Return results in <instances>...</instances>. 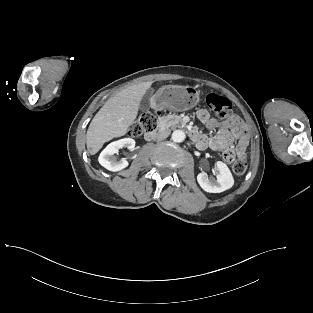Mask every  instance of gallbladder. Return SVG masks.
Instances as JSON below:
<instances>
[{"mask_svg": "<svg viewBox=\"0 0 313 313\" xmlns=\"http://www.w3.org/2000/svg\"><path fill=\"white\" fill-rule=\"evenodd\" d=\"M150 97H151L150 93H147L146 95H144V97L142 99V105H143L144 108L148 107L149 101H150Z\"/></svg>", "mask_w": 313, "mask_h": 313, "instance_id": "1", "label": "gallbladder"}]
</instances>
